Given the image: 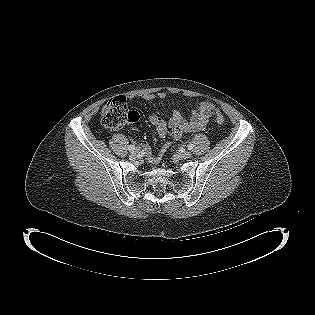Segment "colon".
<instances>
[{
    "label": "colon",
    "instance_id": "1",
    "mask_svg": "<svg viewBox=\"0 0 315 315\" xmlns=\"http://www.w3.org/2000/svg\"><path fill=\"white\" fill-rule=\"evenodd\" d=\"M214 117L218 124L224 123L223 115L214 110ZM102 123L110 129H119L129 123H134L138 120V114L135 111H130L127 107V102L124 97H116L110 100L101 111Z\"/></svg>",
    "mask_w": 315,
    "mask_h": 315
}]
</instances>
